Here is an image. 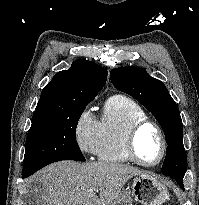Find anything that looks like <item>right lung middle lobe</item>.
<instances>
[{
  "mask_svg": "<svg viewBox=\"0 0 199 205\" xmlns=\"http://www.w3.org/2000/svg\"><path fill=\"white\" fill-rule=\"evenodd\" d=\"M93 99L34 112L27 134L22 176L59 160L85 161L76 141L78 120Z\"/></svg>",
  "mask_w": 199,
  "mask_h": 205,
  "instance_id": "obj_1",
  "label": "right lung middle lobe"
}]
</instances>
